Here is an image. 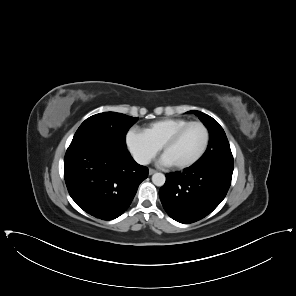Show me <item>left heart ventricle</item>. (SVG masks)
<instances>
[{
  "label": "left heart ventricle",
  "mask_w": 296,
  "mask_h": 296,
  "mask_svg": "<svg viewBox=\"0 0 296 296\" xmlns=\"http://www.w3.org/2000/svg\"><path fill=\"white\" fill-rule=\"evenodd\" d=\"M205 135L200 126L187 128L164 153L172 164L192 159L202 148Z\"/></svg>",
  "instance_id": "left-heart-ventricle-1"
}]
</instances>
